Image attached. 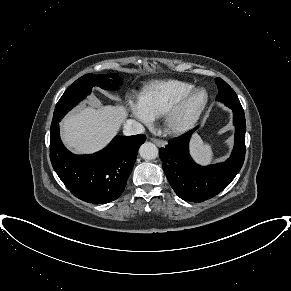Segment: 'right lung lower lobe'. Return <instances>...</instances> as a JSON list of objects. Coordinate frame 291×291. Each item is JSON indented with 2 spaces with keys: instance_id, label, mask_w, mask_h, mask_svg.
I'll use <instances>...</instances> for the list:
<instances>
[{
  "instance_id": "right-lung-lower-lobe-1",
  "label": "right lung lower lobe",
  "mask_w": 291,
  "mask_h": 291,
  "mask_svg": "<svg viewBox=\"0 0 291 291\" xmlns=\"http://www.w3.org/2000/svg\"><path fill=\"white\" fill-rule=\"evenodd\" d=\"M146 137L116 136L103 150L91 155H74L59 136V124L51 125L50 160L67 189L80 200L105 204L124 191L134 167L139 146Z\"/></svg>"
}]
</instances>
